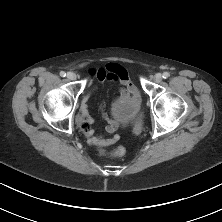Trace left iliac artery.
<instances>
[{
    "instance_id": "obj_1",
    "label": "left iliac artery",
    "mask_w": 222,
    "mask_h": 222,
    "mask_svg": "<svg viewBox=\"0 0 222 222\" xmlns=\"http://www.w3.org/2000/svg\"><path fill=\"white\" fill-rule=\"evenodd\" d=\"M169 76H170V74L168 72H164L163 75H162V77L164 79H167Z\"/></svg>"
}]
</instances>
